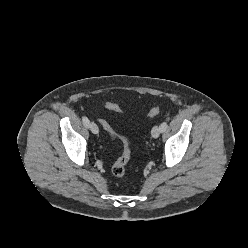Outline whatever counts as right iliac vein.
Wrapping results in <instances>:
<instances>
[{
    "label": "right iliac vein",
    "instance_id": "obj_1",
    "mask_svg": "<svg viewBox=\"0 0 248 248\" xmlns=\"http://www.w3.org/2000/svg\"><path fill=\"white\" fill-rule=\"evenodd\" d=\"M89 128L93 134L99 133L98 126L94 122L89 123Z\"/></svg>",
    "mask_w": 248,
    "mask_h": 248
}]
</instances>
